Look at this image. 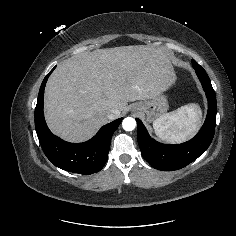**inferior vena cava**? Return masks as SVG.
<instances>
[{
    "mask_svg": "<svg viewBox=\"0 0 236 236\" xmlns=\"http://www.w3.org/2000/svg\"><path fill=\"white\" fill-rule=\"evenodd\" d=\"M114 114H116V111H112V113H108V114H107V117H108L109 119H112V118L114 117Z\"/></svg>",
    "mask_w": 236,
    "mask_h": 236,
    "instance_id": "inferior-vena-cava-1",
    "label": "inferior vena cava"
}]
</instances>
